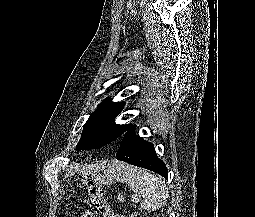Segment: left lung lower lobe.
Instances as JSON below:
<instances>
[{"label": "left lung lower lobe", "instance_id": "left-lung-lower-lobe-1", "mask_svg": "<svg viewBox=\"0 0 255 217\" xmlns=\"http://www.w3.org/2000/svg\"><path fill=\"white\" fill-rule=\"evenodd\" d=\"M135 125H131L124 133L116 157L120 161L142 167L168 178L167 168L157 157L153 144L135 134Z\"/></svg>", "mask_w": 255, "mask_h": 217}]
</instances>
